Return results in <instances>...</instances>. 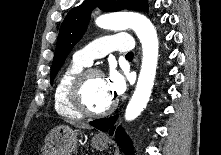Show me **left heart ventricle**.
Segmentation results:
<instances>
[{
	"label": "left heart ventricle",
	"instance_id": "obj_1",
	"mask_svg": "<svg viewBox=\"0 0 221 155\" xmlns=\"http://www.w3.org/2000/svg\"><path fill=\"white\" fill-rule=\"evenodd\" d=\"M83 98L87 107L92 111L104 110L114 100L107 89L104 76L101 75L88 79L83 89Z\"/></svg>",
	"mask_w": 221,
	"mask_h": 155
}]
</instances>
